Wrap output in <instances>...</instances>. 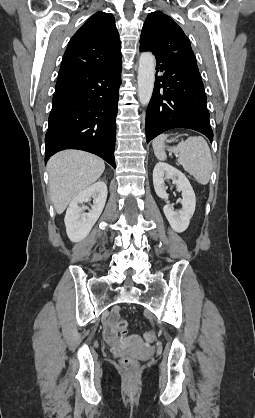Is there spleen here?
Segmentation results:
<instances>
[{"label":"spleen","mask_w":255,"mask_h":418,"mask_svg":"<svg viewBox=\"0 0 255 418\" xmlns=\"http://www.w3.org/2000/svg\"><path fill=\"white\" fill-rule=\"evenodd\" d=\"M167 134H162L153 140L154 154L157 159L164 161V141ZM180 165L192 175L195 180L202 184H208L213 169L212 156L206 140L201 136H191L186 141H181L177 146L171 147Z\"/></svg>","instance_id":"3e777b00"}]
</instances>
